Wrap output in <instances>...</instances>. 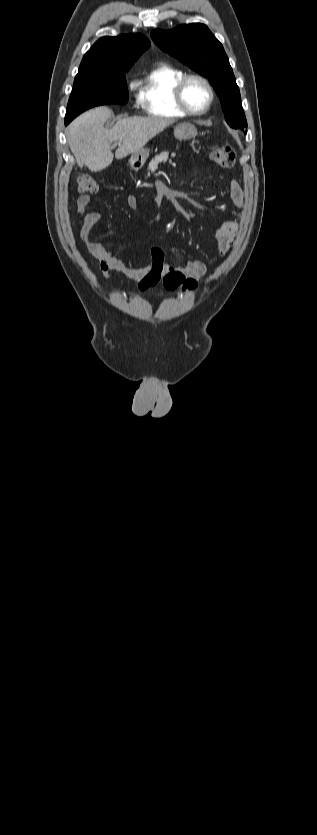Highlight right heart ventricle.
<instances>
[{"mask_svg": "<svg viewBox=\"0 0 317 835\" xmlns=\"http://www.w3.org/2000/svg\"><path fill=\"white\" fill-rule=\"evenodd\" d=\"M186 73L171 64L160 63L150 70L140 84L139 99L152 117L178 118L186 114L178 107L175 87Z\"/></svg>", "mask_w": 317, "mask_h": 835, "instance_id": "right-heart-ventricle-1", "label": "right heart ventricle"}]
</instances>
